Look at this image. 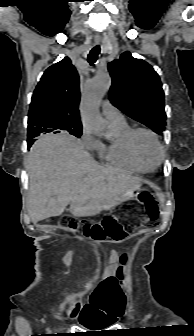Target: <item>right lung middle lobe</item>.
<instances>
[{
	"label": "right lung middle lobe",
	"mask_w": 194,
	"mask_h": 336,
	"mask_svg": "<svg viewBox=\"0 0 194 336\" xmlns=\"http://www.w3.org/2000/svg\"><path fill=\"white\" fill-rule=\"evenodd\" d=\"M29 132V130H28ZM68 132L76 137H80L82 134V129L78 128V129H69Z\"/></svg>",
	"instance_id": "dd1d6c3e"
}]
</instances>
